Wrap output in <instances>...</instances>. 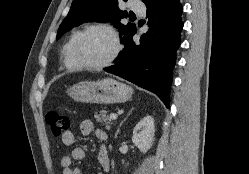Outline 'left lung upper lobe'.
<instances>
[{
	"instance_id": "1",
	"label": "left lung upper lobe",
	"mask_w": 249,
	"mask_h": 174,
	"mask_svg": "<svg viewBox=\"0 0 249 174\" xmlns=\"http://www.w3.org/2000/svg\"><path fill=\"white\" fill-rule=\"evenodd\" d=\"M127 1V0H123ZM146 3L148 0H142ZM119 0H73L70 11L58 29L56 39L73 27L85 22H111L121 30L120 42L136 32L135 24L120 23L122 18H127L128 13L118 8Z\"/></svg>"
}]
</instances>
